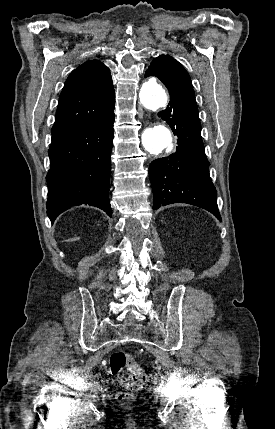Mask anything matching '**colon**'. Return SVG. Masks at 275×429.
<instances>
[{"label":"colon","instance_id":"obj_1","mask_svg":"<svg viewBox=\"0 0 275 429\" xmlns=\"http://www.w3.org/2000/svg\"><path fill=\"white\" fill-rule=\"evenodd\" d=\"M110 371L119 378L122 390L118 393V400L126 403L135 399L136 393L147 381L145 370L124 351H115L109 358Z\"/></svg>","mask_w":275,"mask_h":429}]
</instances>
